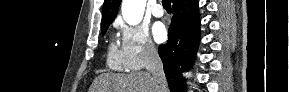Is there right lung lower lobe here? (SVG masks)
<instances>
[{"mask_svg":"<svg viewBox=\"0 0 289 92\" xmlns=\"http://www.w3.org/2000/svg\"><path fill=\"white\" fill-rule=\"evenodd\" d=\"M172 22L167 44L160 45L158 53L171 92H184L181 72L194 61L200 39V15L198 0L176 3L172 6Z\"/></svg>","mask_w":289,"mask_h":92,"instance_id":"98d812e1","label":"right lung lower lobe"}]
</instances>
